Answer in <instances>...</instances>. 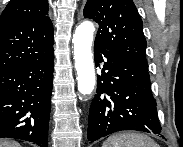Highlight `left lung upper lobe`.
I'll return each instance as SVG.
<instances>
[{
    "mask_svg": "<svg viewBox=\"0 0 183 147\" xmlns=\"http://www.w3.org/2000/svg\"><path fill=\"white\" fill-rule=\"evenodd\" d=\"M84 17L99 24L96 44L148 67L143 23L132 0H87Z\"/></svg>",
    "mask_w": 183,
    "mask_h": 147,
    "instance_id": "obj_1",
    "label": "left lung upper lobe"
}]
</instances>
